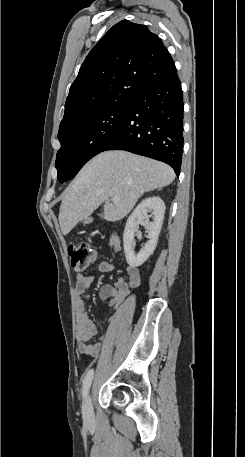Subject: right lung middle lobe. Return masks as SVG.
<instances>
[{
  "instance_id": "right-lung-middle-lobe-1",
  "label": "right lung middle lobe",
  "mask_w": 245,
  "mask_h": 457,
  "mask_svg": "<svg viewBox=\"0 0 245 457\" xmlns=\"http://www.w3.org/2000/svg\"><path fill=\"white\" fill-rule=\"evenodd\" d=\"M131 100H118L60 124L57 152L58 180L72 179L92 157L102 152L124 121Z\"/></svg>"
}]
</instances>
